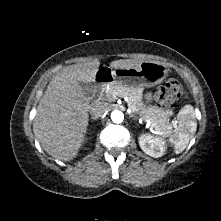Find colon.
<instances>
[{"label":"colon","mask_w":221,"mask_h":221,"mask_svg":"<svg viewBox=\"0 0 221 221\" xmlns=\"http://www.w3.org/2000/svg\"><path fill=\"white\" fill-rule=\"evenodd\" d=\"M182 95V87L176 80L167 81L157 93L160 103L166 106H173Z\"/></svg>","instance_id":"5ec220e1"}]
</instances>
